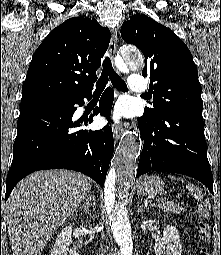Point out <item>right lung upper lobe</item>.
<instances>
[{"mask_svg": "<svg viewBox=\"0 0 221 255\" xmlns=\"http://www.w3.org/2000/svg\"><path fill=\"white\" fill-rule=\"evenodd\" d=\"M109 42V29L93 18H71L53 29L33 55L20 107L91 92Z\"/></svg>", "mask_w": 221, "mask_h": 255, "instance_id": "obj_1", "label": "right lung upper lobe"}]
</instances>
